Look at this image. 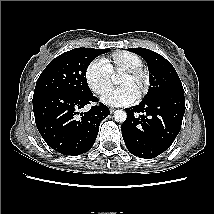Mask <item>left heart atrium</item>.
<instances>
[{"label": "left heart atrium", "mask_w": 214, "mask_h": 214, "mask_svg": "<svg viewBox=\"0 0 214 214\" xmlns=\"http://www.w3.org/2000/svg\"><path fill=\"white\" fill-rule=\"evenodd\" d=\"M138 99V93L129 86H121L108 91L102 101L109 106H126Z\"/></svg>", "instance_id": "39dd6f15"}]
</instances>
